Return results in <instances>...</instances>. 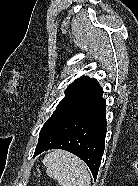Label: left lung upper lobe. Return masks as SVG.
<instances>
[{
    "mask_svg": "<svg viewBox=\"0 0 138 186\" xmlns=\"http://www.w3.org/2000/svg\"><path fill=\"white\" fill-rule=\"evenodd\" d=\"M100 85L87 76L75 80L66 90V95L57 106L53 115L46 121L40 131V136L60 117L74 108L80 101L96 90Z\"/></svg>",
    "mask_w": 138,
    "mask_h": 186,
    "instance_id": "obj_1",
    "label": "left lung upper lobe"
}]
</instances>
